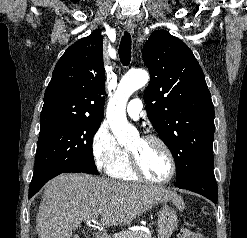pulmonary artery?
Listing matches in <instances>:
<instances>
[{
    "label": "pulmonary artery",
    "instance_id": "pulmonary-artery-1",
    "mask_svg": "<svg viewBox=\"0 0 247 238\" xmlns=\"http://www.w3.org/2000/svg\"><path fill=\"white\" fill-rule=\"evenodd\" d=\"M142 108L143 105L140 99H132L127 105V113L132 119L136 120L140 117Z\"/></svg>",
    "mask_w": 247,
    "mask_h": 238
}]
</instances>
